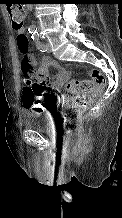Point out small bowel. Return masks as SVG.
<instances>
[{
  "instance_id": "1",
  "label": "small bowel",
  "mask_w": 122,
  "mask_h": 218,
  "mask_svg": "<svg viewBox=\"0 0 122 218\" xmlns=\"http://www.w3.org/2000/svg\"><path fill=\"white\" fill-rule=\"evenodd\" d=\"M25 32H26L25 27H22L18 31V33H24V34H25ZM29 61H30L31 66H32V71L37 78L38 85L45 86V87H46V85H48L53 90L60 91L62 89L63 85L65 84V82L71 77L70 70L65 69V68H61V66L50 57H44L43 58V65L39 68L36 67V61L33 58L29 57ZM49 68H54L56 70H59V74L50 78L48 75ZM44 96H45V93H39L37 98H36L37 102L40 104L42 109H43V106L41 105V103H44V101H43ZM63 99H66V98L63 97Z\"/></svg>"
}]
</instances>
